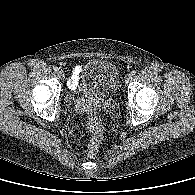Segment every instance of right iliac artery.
I'll return each mask as SVG.
<instances>
[{
  "mask_svg": "<svg viewBox=\"0 0 195 195\" xmlns=\"http://www.w3.org/2000/svg\"><path fill=\"white\" fill-rule=\"evenodd\" d=\"M53 69L55 72H57L59 70L58 67H54Z\"/></svg>",
  "mask_w": 195,
  "mask_h": 195,
  "instance_id": "82829eb1",
  "label": "right iliac artery"
}]
</instances>
